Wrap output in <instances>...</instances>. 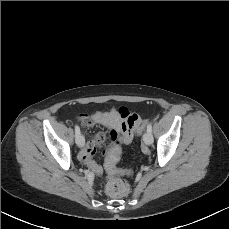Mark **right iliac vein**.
<instances>
[{
    "instance_id": "63e3f726",
    "label": "right iliac vein",
    "mask_w": 229,
    "mask_h": 229,
    "mask_svg": "<svg viewBox=\"0 0 229 229\" xmlns=\"http://www.w3.org/2000/svg\"><path fill=\"white\" fill-rule=\"evenodd\" d=\"M84 143H85V139H84V136L82 134L76 136V144L78 147H83L84 146Z\"/></svg>"
}]
</instances>
